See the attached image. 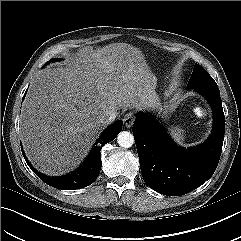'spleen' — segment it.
Returning <instances> with one entry per match:
<instances>
[{
    "label": "spleen",
    "instance_id": "1",
    "mask_svg": "<svg viewBox=\"0 0 241 241\" xmlns=\"http://www.w3.org/2000/svg\"><path fill=\"white\" fill-rule=\"evenodd\" d=\"M170 131H171L170 134H171L173 140H174L177 144L183 146V145H184L183 130L180 129V128H178V127H173V128L170 129Z\"/></svg>",
    "mask_w": 241,
    "mask_h": 241
}]
</instances>
